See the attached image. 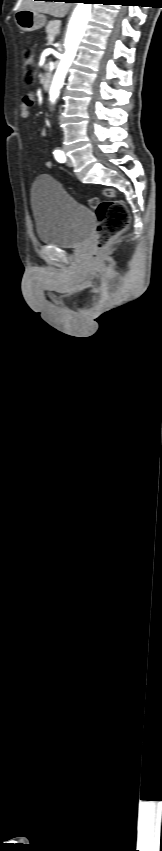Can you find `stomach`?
Listing matches in <instances>:
<instances>
[{"instance_id": "stomach-1", "label": "stomach", "mask_w": 162, "mask_h": 851, "mask_svg": "<svg viewBox=\"0 0 162 851\" xmlns=\"http://www.w3.org/2000/svg\"><path fill=\"white\" fill-rule=\"evenodd\" d=\"M15 22L23 32H32L42 28L46 23L44 15L32 10H19L15 14Z\"/></svg>"}]
</instances>
